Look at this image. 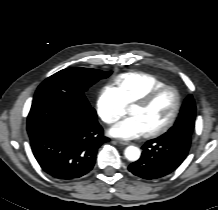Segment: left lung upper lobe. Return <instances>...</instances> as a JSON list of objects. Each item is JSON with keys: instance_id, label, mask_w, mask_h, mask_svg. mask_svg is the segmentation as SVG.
<instances>
[{"instance_id": "left-lung-upper-lobe-1", "label": "left lung upper lobe", "mask_w": 218, "mask_h": 210, "mask_svg": "<svg viewBox=\"0 0 218 210\" xmlns=\"http://www.w3.org/2000/svg\"><path fill=\"white\" fill-rule=\"evenodd\" d=\"M196 118V106L192 95H188L185 99L179 117L174 126L169 129L168 132L162 135V137L174 139L181 137V135L187 136L190 140L194 131Z\"/></svg>"}]
</instances>
